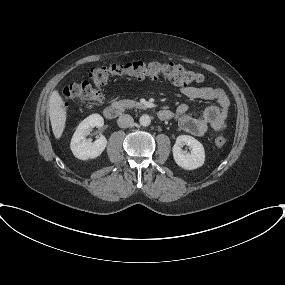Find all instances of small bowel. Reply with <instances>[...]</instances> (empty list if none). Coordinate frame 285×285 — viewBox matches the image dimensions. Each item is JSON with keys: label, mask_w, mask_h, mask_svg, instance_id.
Instances as JSON below:
<instances>
[{"label": "small bowel", "mask_w": 285, "mask_h": 285, "mask_svg": "<svg viewBox=\"0 0 285 285\" xmlns=\"http://www.w3.org/2000/svg\"><path fill=\"white\" fill-rule=\"evenodd\" d=\"M180 92L189 99L216 102L200 114L192 112L186 104L179 105L175 113L170 111V118L174 117L182 130L195 136H204L207 133H219L226 128L230 102L224 90L212 86H182Z\"/></svg>", "instance_id": "c3829d8e"}]
</instances>
